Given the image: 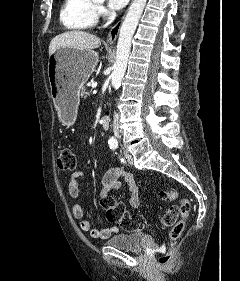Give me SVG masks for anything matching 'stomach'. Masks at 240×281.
I'll list each match as a JSON object with an SVG mask.
<instances>
[{
	"mask_svg": "<svg viewBox=\"0 0 240 281\" xmlns=\"http://www.w3.org/2000/svg\"><path fill=\"white\" fill-rule=\"evenodd\" d=\"M94 50L59 48L48 59L50 94L66 124H72L77 115L80 90L98 62Z\"/></svg>",
	"mask_w": 240,
	"mask_h": 281,
	"instance_id": "0dacf381",
	"label": "stomach"
}]
</instances>
